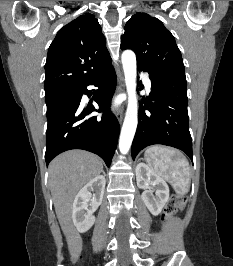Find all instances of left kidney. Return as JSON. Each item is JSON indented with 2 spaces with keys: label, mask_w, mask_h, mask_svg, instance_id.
Segmentation results:
<instances>
[{
  "label": "left kidney",
  "mask_w": 233,
  "mask_h": 266,
  "mask_svg": "<svg viewBox=\"0 0 233 266\" xmlns=\"http://www.w3.org/2000/svg\"><path fill=\"white\" fill-rule=\"evenodd\" d=\"M136 181L139 188L145 189L141 197L153 215H159L169 199V187L148 165L139 163L136 167ZM156 187L155 196L153 195Z\"/></svg>",
  "instance_id": "1"
}]
</instances>
